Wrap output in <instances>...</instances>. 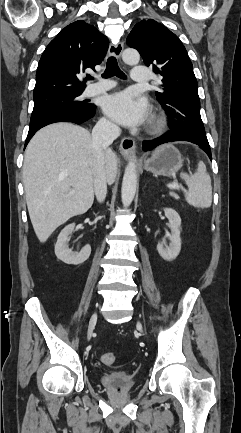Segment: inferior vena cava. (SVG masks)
Here are the masks:
<instances>
[{
	"label": "inferior vena cava",
	"mask_w": 241,
	"mask_h": 433,
	"mask_svg": "<svg viewBox=\"0 0 241 433\" xmlns=\"http://www.w3.org/2000/svg\"><path fill=\"white\" fill-rule=\"evenodd\" d=\"M121 129L106 120L99 121L92 130L91 150L95 156L93 166L94 191L98 202H103L107 194V180L104 171V151L120 135Z\"/></svg>",
	"instance_id": "1"
}]
</instances>
